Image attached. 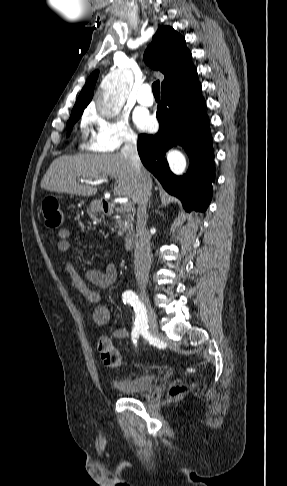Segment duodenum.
<instances>
[{
	"label": "duodenum",
	"mask_w": 287,
	"mask_h": 486,
	"mask_svg": "<svg viewBox=\"0 0 287 486\" xmlns=\"http://www.w3.org/2000/svg\"><path fill=\"white\" fill-rule=\"evenodd\" d=\"M100 207L106 215H111V214L114 213V207H113L112 203H110L109 201H107L105 199L100 201ZM134 243H135V232L132 231V230H129V231L126 232L125 238H124L125 249L131 250L134 246Z\"/></svg>",
	"instance_id": "obj_1"
}]
</instances>
